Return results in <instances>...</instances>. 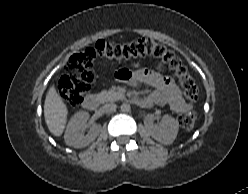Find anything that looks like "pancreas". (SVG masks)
Returning <instances> with one entry per match:
<instances>
[{
    "instance_id": "1",
    "label": "pancreas",
    "mask_w": 248,
    "mask_h": 194,
    "mask_svg": "<svg viewBox=\"0 0 248 194\" xmlns=\"http://www.w3.org/2000/svg\"><path fill=\"white\" fill-rule=\"evenodd\" d=\"M102 102H112L124 98V95L115 90L102 91L98 94Z\"/></svg>"
}]
</instances>
